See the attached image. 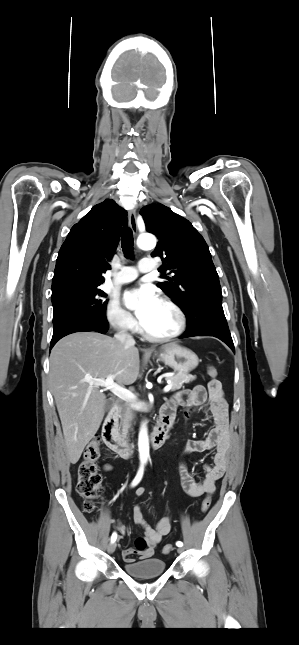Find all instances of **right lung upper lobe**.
Segmentation results:
<instances>
[{
    "label": "right lung upper lobe",
    "mask_w": 299,
    "mask_h": 645,
    "mask_svg": "<svg viewBox=\"0 0 299 645\" xmlns=\"http://www.w3.org/2000/svg\"><path fill=\"white\" fill-rule=\"evenodd\" d=\"M126 212L113 200L95 205L75 224L60 248L52 294L68 288L98 287L104 282L103 273L110 265Z\"/></svg>",
    "instance_id": "right-lung-upper-lobe-1"
}]
</instances>
